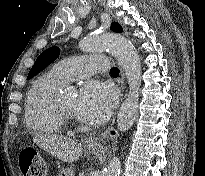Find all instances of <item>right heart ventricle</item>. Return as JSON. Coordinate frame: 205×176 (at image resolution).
Instances as JSON below:
<instances>
[{
  "label": "right heart ventricle",
  "mask_w": 205,
  "mask_h": 176,
  "mask_svg": "<svg viewBox=\"0 0 205 176\" xmlns=\"http://www.w3.org/2000/svg\"><path fill=\"white\" fill-rule=\"evenodd\" d=\"M54 73L38 76L29 87L25 97V124L35 134H59L63 120L57 115L56 90L64 85Z\"/></svg>",
  "instance_id": "1"
}]
</instances>
